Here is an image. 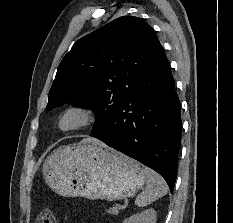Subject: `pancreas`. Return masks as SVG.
Listing matches in <instances>:
<instances>
[{
  "instance_id": "1",
  "label": "pancreas",
  "mask_w": 233,
  "mask_h": 223,
  "mask_svg": "<svg viewBox=\"0 0 233 223\" xmlns=\"http://www.w3.org/2000/svg\"><path fill=\"white\" fill-rule=\"evenodd\" d=\"M118 211L117 207H112V211H109V213H116Z\"/></svg>"
}]
</instances>
